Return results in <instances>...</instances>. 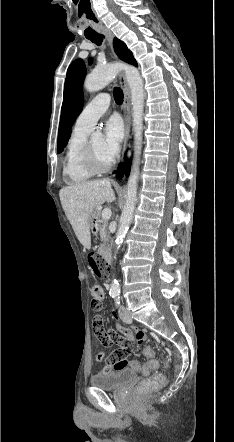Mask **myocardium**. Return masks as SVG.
I'll return each instance as SVG.
<instances>
[{"label": "myocardium", "instance_id": "1", "mask_svg": "<svg viewBox=\"0 0 234 442\" xmlns=\"http://www.w3.org/2000/svg\"><path fill=\"white\" fill-rule=\"evenodd\" d=\"M113 159H110L107 163H101L91 145V142H87L85 147V164L87 168L95 174L107 172L113 165Z\"/></svg>", "mask_w": 234, "mask_h": 442}]
</instances>
